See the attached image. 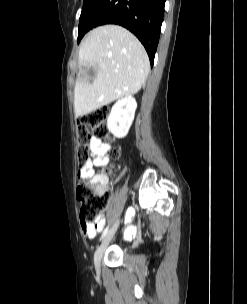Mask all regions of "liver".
<instances>
[{"label": "liver", "mask_w": 247, "mask_h": 304, "mask_svg": "<svg viewBox=\"0 0 247 304\" xmlns=\"http://www.w3.org/2000/svg\"><path fill=\"white\" fill-rule=\"evenodd\" d=\"M79 73L74 88L76 117L117 99L136 94L149 73V59L140 41L118 25H104L83 39L78 55ZM95 76L89 82L87 68Z\"/></svg>", "instance_id": "1"}]
</instances>
